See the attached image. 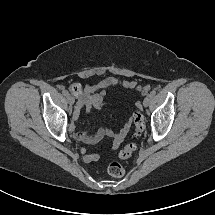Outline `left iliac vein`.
<instances>
[{"mask_svg":"<svg viewBox=\"0 0 215 215\" xmlns=\"http://www.w3.org/2000/svg\"><path fill=\"white\" fill-rule=\"evenodd\" d=\"M150 102H151V97L147 96L143 101L144 107H147L150 104Z\"/></svg>","mask_w":215,"mask_h":215,"instance_id":"4c4485c4","label":"left iliac vein"}]
</instances>
